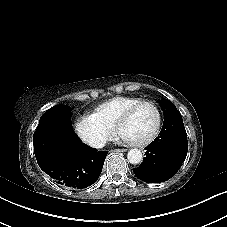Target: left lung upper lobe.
<instances>
[{
	"mask_svg": "<svg viewBox=\"0 0 227 227\" xmlns=\"http://www.w3.org/2000/svg\"><path fill=\"white\" fill-rule=\"evenodd\" d=\"M164 114V123L170 119H182L181 114L177 111L175 105L167 99L158 100ZM163 123V124H164Z\"/></svg>",
	"mask_w": 227,
	"mask_h": 227,
	"instance_id": "5c2ea615",
	"label": "left lung upper lobe"
}]
</instances>
